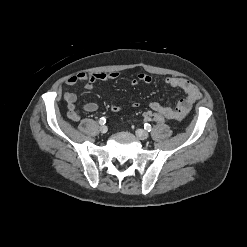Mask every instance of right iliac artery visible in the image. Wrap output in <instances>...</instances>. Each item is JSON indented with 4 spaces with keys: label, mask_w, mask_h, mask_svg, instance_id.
I'll return each instance as SVG.
<instances>
[{
    "label": "right iliac artery",
    "mask_w": 247,
    "mask_h": 247,
    "mask_svg": "<svg viewBox=\"0 0 247 247\" xmlns=\"http://www.w3.org/2000/svg\"><path fill=\"white\" fill-rule=\"evenodd\" d=\"M106 123V119L104 117L100 118L99 124L104 125Z\"/></svg>",
    "instance_id": "obj_1"
}]
</instances>
